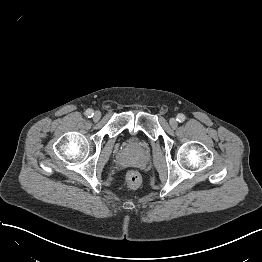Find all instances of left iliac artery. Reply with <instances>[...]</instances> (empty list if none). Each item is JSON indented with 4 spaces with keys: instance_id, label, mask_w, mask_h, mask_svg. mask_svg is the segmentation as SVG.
Listing matches in <instances>:
<instances>
[{
    "instance_id": "obj_1",
    "label": "left iliac artery",
    "mask_w": 262,
    "mask_h": 262,
    "mask_svg": "<svg viewBox=\"0 0 262 262\" xmlns=\"http://www.w3.org/2000/svg\"><path fill=\"white\" fill-rule=\"evenodd\" d=\"M177 121L184 122L185 121V116L183 114H178L177 115Z\"/></svg>"
}]
</instances>
